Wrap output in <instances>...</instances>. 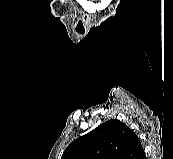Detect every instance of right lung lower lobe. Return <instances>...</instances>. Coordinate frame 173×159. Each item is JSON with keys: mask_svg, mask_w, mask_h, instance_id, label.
I'll return each mask as SVG.
<instances>
[{"mask_svg": "<svg viewBox=\"0 0 173 159\" xmlns=\"http://www.w3.org/2000/svg\"><path fill=\"white\" fill-rule=\"evenodd\" d=\"M142 159H145V155L142 157Z\"/></svg>", "mask_w": 173, "mask_h": 159, "instance_id": "right-lung-lower-lobe-1", "label": "right lung lower lobe"}]
</instances>
